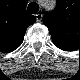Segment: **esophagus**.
I'll use <instances>...</instances> for the list:
<instances>
[{
    "instance_id": "esophagus-1",
    "label": "esophagus",
    "mask_w": 80,
    "mask_h": 80,
    "mask_svg": "<svg viewBox=\"0 0 80 80\" xmlns=\"http://www.w3.org/2000/svg\"><path fill=\"white\" fill-rule=\"evenodd\" d=\"M35 16H36V21L37 22H41V20H42V14L38 13Z\"/></svg>"
}]
</instances>
